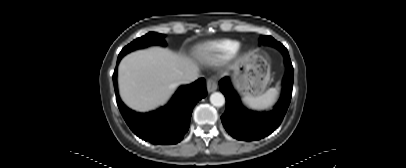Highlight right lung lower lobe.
<instances>
[{
  "instance_id": "right-lung-lower-lobe-1",
  "label": "right lung lower lobe",
  "mask_w": 406,
  "mask_h": 168,
  "mask_svg": "<svg viewBox=\"0 0 406 168\" xmlns=\"http://www.w3.org/2000/svg\"><path fill=\"white\" fill-rule=\"evenodd\" d=\"M121 58L117 59L119 63ZM118 108L130 127L141 139L152 144H176L188 131L195 104L207 95L206 81L200 78L182 85L170 101L156 110L140 113L128 108L120 99L117 87V67L113 74Z\"/></svg>"
}]
</instances>
